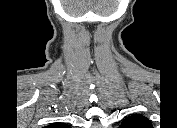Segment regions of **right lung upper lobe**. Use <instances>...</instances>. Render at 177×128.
<instances>
[{
  "label": "right lung upper lobe",
  "instance_id": "right-lung-upper-lobe-1",
  "mask_svg": "<svg viewBox=\"0 0 177 128\" xmlns=\"http://www.w3.org/2000/svg\"><path fill=\"white\" fill-rule=\"evenodd\" d=\"M49 128H67L68 125L63 124V123H53L48 126Z\"/></svg>",
  "mask_w": 177,
  "mask_h": 128
}]
</instances>
